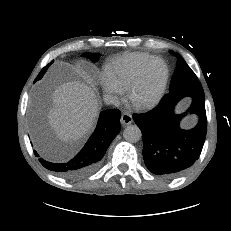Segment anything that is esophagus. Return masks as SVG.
I'll use <instances>...</instances> for the list:
<instances>
[{
  "label": "esophagus",
  "instance_id": "34e87169",
  "mask_svg": "<svg viewBox=\"0 0 231 231\" xmlns=\"http://www.w3.org/2000/svg\"><path fill=\"white\" fill-rule=\"evenodd\" d=\"M120 121H121V124L123 126H127V125L131 124L133 121L132 115L128 112H123L121 115Z\"/></svg>",
  "mask_w": 231,
  "mask_h": 231
}]
</instances>
